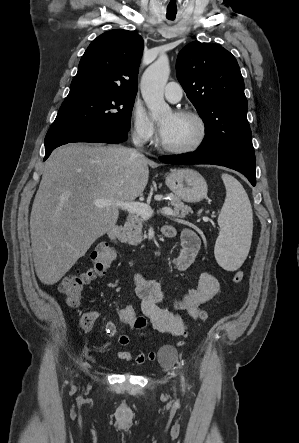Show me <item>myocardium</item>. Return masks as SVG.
Here are the masks:
<instances>
[{
    "label": "myocardium",
    "mask_w": 299,
    "mask_h": 443,
    "mask_svg": "<svg viewBox=\"0 0 299 443\" xmlns=\"http://www.w3.org/2000/svg\"><path fill=\"white\" fill-rule=\"evenodd\" d=\"M176 116L190 118L195 121L198 127L197 138L191 144L182 147H173L165 144L160 137L157 141L158 148L166 153L175 155L190 154L199 150L206 141L208 130L204 119L197 113L191 110H179L175 112Z\"/></svg>",
    "instance_id": "myocardium-1"
}]
</instances>
